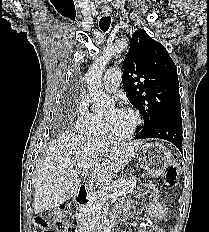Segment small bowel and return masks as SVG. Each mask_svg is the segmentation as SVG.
<instances>
[{"label": "small bowel", "instance_id": "small-bowel-1", "mask_svg": "<svg viewBox=\"0 0 209 232\" xmlns=\"http://www.w3.org/2000/svg\"><path fill=\"white\" fill-rule=\"evenodd\" d=\"M137 190H142V185L136 186ZM145 192L148 193V203H147V216L143 222V229L139 232H163L157 225V221L165 220L169 217L168 210L164 202L162 201L161 194L159 190L153 184L145 185ZM141 197L144 196V192L140 194ZM120 211L116 210L114 216L117 217Z\"/></svg>", "mask_w": 209, "mask_h": 232}]
</instances>
